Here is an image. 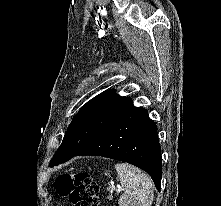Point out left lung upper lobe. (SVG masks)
<instances>
[{
	"label": "left lung upper lobe",
	"mask_w": 221,
	"mask_h": 206,
	"mask_svg": "<svg viewBox=\"0 0 221 206\" xmlns=\"http://www.w3.org/2000/svg\"><path fill=\"white\" fill-rule=\"evenodd\" d=\"M129 97L106 90L87 102L73 118L49 166L71 159L102 133L130 105Z\"/></svg>",
	"instance_id": "left-lung-upper-lobe-1"
}]
</instances>
